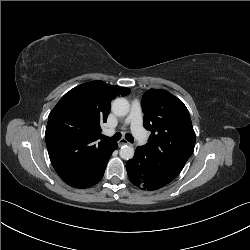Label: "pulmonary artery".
Returning <instances> with one entry per match:
<instances>
[{"label":"pulmonary artery","instance_id":"e3ab8cb5","mask_svg":"<svg viewBox=\"0 0 250 250\" xmlns=\"http://www.w3.org/2000/svg\"><path fill=\"white\" fill-rule=\"evenodd\" d=\"M125 123L130 125L131 130L139 143L144 144L146 142V134L142 127L141 104L138 100H134L132 102L129 115L126 118Z\"/></svg>","mask_w":250,"mask_h":250}]
</instances>
